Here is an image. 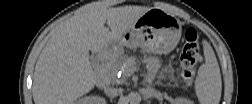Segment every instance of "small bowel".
Returning a JSON list of instances; mask_svg holds the SVG:
<instances>
[{"instance_id":"c3829d8e","label":"small bowel","mask_w":252,"mask_h":104,"mask_svg":"<svg viewBox=\"0 0 252 104\" xmlns=\"http://www.w3.org/2000/svg\"><path fill=\"white\" fill-rule=\"evenodd\" d=\"M150 71H151V74H155L156 70H157V64L155 63V61H151L150 62Z\"/></svg>"}]
</instances>
